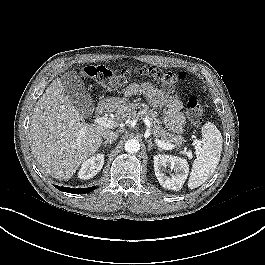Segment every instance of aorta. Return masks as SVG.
I'll list each match as a JSON object with an SVG mask.
<instances>
[{
	"label": "aorta",
	"instance_id": "aorta-1",
	"mask_svg": "<svg viewBox=\"0 0 265 265\" xmlns=\"http://www.w3.org/2000/svg\"><path fill=\"white\" fill-rule=\"evenodd\" d=\"M125 150L128 153L134 154L140 150L139 141L136 139H130L125 143Z\"/></svg>",
	"mask_w": 265,
	"mask_h": 265
}]
</instances>
